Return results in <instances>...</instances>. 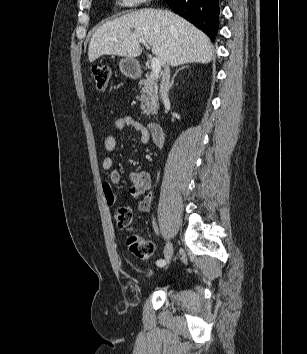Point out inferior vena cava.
I'll return each instance as SVG.
<instances>
[{"mask_svg": "<svg viewBox=\"0 0 307 354\" xmlns=\"http://www.w3.org/2000/svg\"><path fill=\"white\" fill-rule=\"evenodd\" d=\"M169 80H170V69L169 64L165 65L163 77L160 83V98L163 102L168 99V91H169Z\"/></svg>", "mask_w": 307, "mask_h": 354, "instance_id": "602c4592", "label": "inferior vena cava"}]
</instances>
